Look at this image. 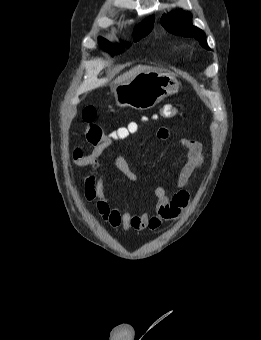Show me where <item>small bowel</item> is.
I'll return each instance as SVG.
<instances>
[{"mask_svg":"<svg viewBox=\"0 0 261 340\" xmlns=\"http://www.w3.org/2000/svg\"><path fill=\"white\" fill-rule=\"evenodd\" d=\"M137 131V124L132 122L126 127H121L108 134L102 143L95 145L93 149L84 154L80 148L72 152V161L77 167H88L90 173L84 182V199L92 203L102 219L113 228H121L122 231L130 230H156L162 224L177 219L188 207L190 194L183 187L189 181L194 171L199 170L204 162L202 145L194 140L182 138L180 145L186 151V160L181 167L176 179V191L170 196L164 187L158 186L154 189L156 198L155 210L152 214H132L128 208L121 210L109 204L107 200L104 178L100 172V157L116 139H125ZM156 135L161 140L169 137L166 127L158 128ZM117 169L130 181L138 180L137 174L130 168L127 160L118 156L115 159Z\"/></svg>","mask_w":261,"mask_h":340,"instance_id":"obj_1","label":"small bowel"}]
</instances>
